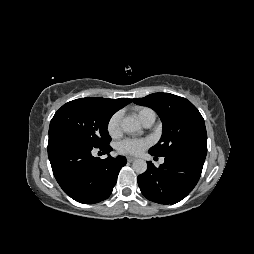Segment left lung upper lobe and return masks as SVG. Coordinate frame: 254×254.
<instances>
[{
    "instance_id": "1",
    "label": "left lung upper lobe",
    "mask_w": 254,
    "mask_h": 254,
    "mask_svg": "<svg viewBox=\"0 0 254 254\" xmlns=\"http://www.w3.org/2000/svg\"><path fill=\"white\" fill-rule=\"evenodd\" d=\"M133 102L152 108L163 123L158 144L150 148L157 156L192 152L206 156L207 133L198 109L187 99L170 93H153Z\"/></svg>"
}]
</instances>
